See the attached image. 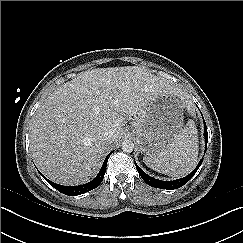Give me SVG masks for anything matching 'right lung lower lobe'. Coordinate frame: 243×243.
I'll return each instance as SVG.
<instances>
[{"label":"right lung lower lobe","mask_w":243,"mask_h":243,"mask_svg":"<svg viewBox=\"0 0 243 243\" xmlns=\"http://www.w3.org/2000/svg\"><path fill=\"white\" fill-rule=\"evenodd\" d=\"M113 153L110 152L108 154V156L106 157V159L104 160L103 166L100 169L98 175L96 176L95 179H93L92 181H90L89 183H86L84 185H80V186H63V185H59L56 183L51 182L50 180H48L47 178H45V180L51 185L53 186L55 189H57L59 192L65 194V195H69V196H75V195H80L83 193H86L90 190L95 189L103 180V177L105 175V171H106V166H107V161L110 157V155ZM43 176V175H42Z\"/></svg>","instance_id":"98d812e1"}]
</instances>
